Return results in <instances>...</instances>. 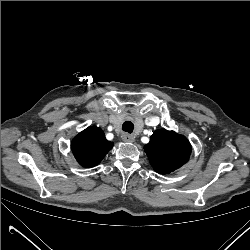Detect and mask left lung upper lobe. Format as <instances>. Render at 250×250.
I'll return each instance as SVG.
<instances>
[{
  "label": "left lung upper lobe",
  "mask_w": 250,
  "mask_h": 250,
  "mask_svg": "<svg viewBox=\"0 0 250 250\" xmlns=\"http://www.w3.org/2000/svg\"><path fill=\"white\" fill-rule=\"evenodd\" d=\"M144 150L157 173L169 174L188 161L191 145L185 136L161 129L153 133Z\"/></svg>",
  "instance_id": "left-lung-upper-lobe-1"
}]
</instances>
